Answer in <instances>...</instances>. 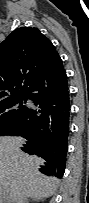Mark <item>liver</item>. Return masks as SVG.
<instances>
[{"label":"liver","mask_w":89,"mask_h":203,"mask_svg":"<svg viewBox=\"0 0 89 203\" xmlns=\"http://www.w3.org/2000/svg\"><path fill=\"white\" fill-rule=\"evenodd\" d=\"M24 139L5 136L0 138V195L8 203L34 198L41 200L53 195L58 180L38 172L43 160L20 150Z\"/></svg>","instance_id":"obj_1"}]
</instances>
